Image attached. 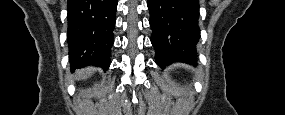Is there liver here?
<instances>
[{
    "mask_svg": "<svg viewBox=\"0 0 285 115\" xmlns=\"http://www.w3.org/2000/svg\"><path fill=\"white\" fill-rule=\"evenodd\" d=\"M96 71L93 67L84 68L76 72L78 80L88 78Z\"/></svg>",
    "mask_w": 285,
    "mask_h": 115,
    "instance_id": "obj_1",
    "label": "liver"
}]
</instances>
